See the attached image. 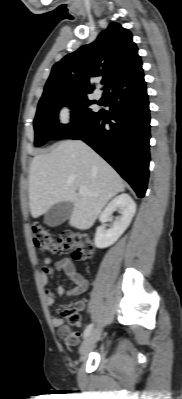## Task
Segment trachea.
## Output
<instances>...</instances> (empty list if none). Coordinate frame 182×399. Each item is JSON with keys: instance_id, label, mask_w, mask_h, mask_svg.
Here are the masks:
<instances>
[{"instance_id": "trachea-1", "label": "trachea", "mask_w": 182, "mask_h": 399, "mask_svg": "<svg viewBox=\"0 0 182 399\" xmlns=\"http://www.w3.org/2000/svg\"><path fill=\"white\" fill-rule=\"evenodd\" d=\"M102 83H103V84L106 83V79H103Z\"/></svg>"}]
</instances>
